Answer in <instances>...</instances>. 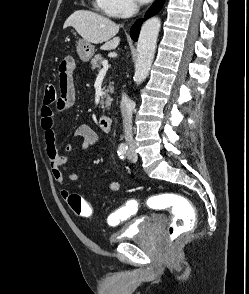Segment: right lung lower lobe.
<instances>
[{"label": "right lung lower lobe", "instance_id": "98d812e1", "mask_svg": "<svg viewBox=\"0 0 249 294\" xmlns=\"http://www.w3.org/2000/svg\"><path fill=\"white\" fill-rule=\"evenodd\" d=\"M165 0H156L153 5L149 8V10L145 14V19L151 17L158 13L160 9L163 7ZM144 19H139L135 22V24L131 27L130 36L134 41H137L140 27Z\"/></svg>", "mask_w": 249, "mask_h": 294}]
</instances>
